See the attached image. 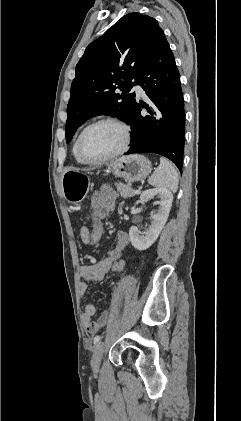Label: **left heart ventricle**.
Masks as SVG:
<instances>
[{"label":"left heart ventricle","instance_id":"obj_1","mask_svg":"<svg viewBox=\"0 0 241 421\" xmlns=\"http://www.w3.org/2000/svg\"><path fill=\"white\" fill-rule=\"evenodd\" d=\"M119 127L104 123L90 129L83 141V151L90 159H99L116 151L122 144Z\"/></svg>","mask_w":241,"mask_h":421}]
</instances>
